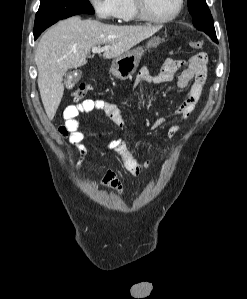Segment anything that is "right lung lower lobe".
<instances>
[{
	"label": "right lung lower lobe",
	"instance_id": "right-lung-lower-lobe-1",
	"mask_svg": "<svg viewBox=\"0 0 247 299\" xmlns=\"http://www.w3.org/2000/svg\"><path fill=\"white\" fill-rule=\"evenodd\" d=\"M38 36H34V39H37Z\"/></svg>",
	"mask_w": 247,
	"mask_h": 299
}]
</instances>
